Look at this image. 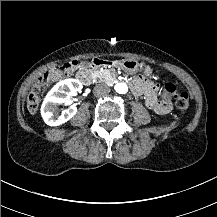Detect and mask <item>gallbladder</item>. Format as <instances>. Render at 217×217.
<instances>
[{"mask_svg":"<svg viewBox=\"0 0 217 217\" xmlns=\"http://www.w3.org/2000/svg\"><path fill=\"white\" fill-rule=\"evenodd\" d=\"M79 65H80V67H82V68H83V67H86V68L88 67V68H89V67H91L92 64H91V62L85 60V61L80 62Z\"/></svg>","mask_w":217,"mask_h":217,"instance_id":"1","label":"gallbladder"}]
</instances>
